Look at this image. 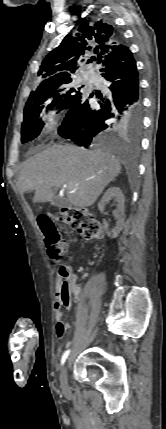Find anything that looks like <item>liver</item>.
Segmentation results:
<instances>
[{"label":"liver","mask_w":166,"mask_h":429,"mask_svg":"<svg viewBox=\"0 0 166 429\" xmlns=\"http://www.w3.org/2000/svg\"><path fill=\"white\" fill-rule=\"evenodd\" d=\"M121 171L119 160L108 152L70 145H53L24 164L19 178L20 193L34 190V202L53 199L55 190L69 184L68 201L89 207Z\"/></svg>","instance_id":"6515ba94"}]
</instances>
